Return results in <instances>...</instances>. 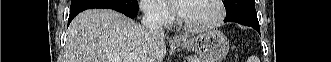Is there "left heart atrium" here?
<instances>
[{
  "mask_svg": "<svg viewBox=\"0 0 331 62\" xmlns=\"http://www.w3.org/2000/svg\"><path fill=\"white\" fill-rule=\"evenodd\" d=\"M166 2L171 6V8L178 13H182L184 9V4L186 1L183 0H166Z\"/></svg>",
  "mask_w": 331,
  "mask_h": 62,
  "instance_id": "left-heart-atrium-1",
  "label": "left heart atrium"
}]
</instances>
